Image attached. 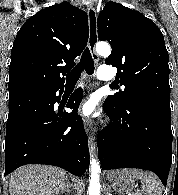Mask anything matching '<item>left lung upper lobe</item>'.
Here are the masks:
<instances>
[{"instance_id": "1", "label": "left lung upper lobe", "mask_w": 178, "mask_h": 195, "mask_svg": "<svg viewBox=\"0 0 178 195\" xmlns=\"http://www.w3.org/2000/svg\"><path fill=\"white\" fill-rule=\"evenodd\" d=\"M98 37L112 52L105 63L118 69L123 91L107 97L116 110L144 105L171 113L168 52L160 29L140 12L109 2L99 14Z\"/></svg>"}]
</instances>
